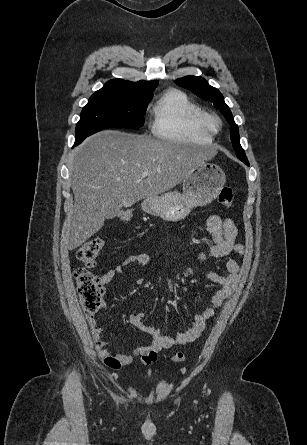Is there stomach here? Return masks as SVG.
I'll return each mask as SVG.
<instances>
[{"instance_id":"1","label":"stomach","mask_w":307,"mask_h":445,"mask_svg":"<svg viewBox=\"0 0 307 445\" xmlns=\"http://www.w3.org/2000/svg\"><path fill=\"white\" fill-rule=\"evenodd\" d=\"M225 172L212 162H201L182 182L183 192L169 190L160 196H148L141 202L144 212L163 220H182L194 206H205L218 196L225 184Z\"/></svg>"}]
</instances>
